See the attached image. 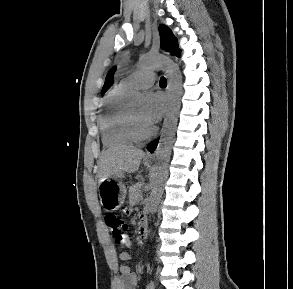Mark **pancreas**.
<instances>
[{
    "label": "pancreas",
    "mask_w": 293,
    "mask_h": 289,
    "mask_svg": "<svg viewBox=\"0 0 293 289\" xmlns=\"http://www.w3.org/2000/svg\"><path fill=\"white\" fill-rule=\"evenodd\" d=\"M140 189H141V183L134 184L129 188V199L131 201L138 200L140 196Z\"/></svg>",
    "instance_id": "pancreas-1"
}]
</instances>
